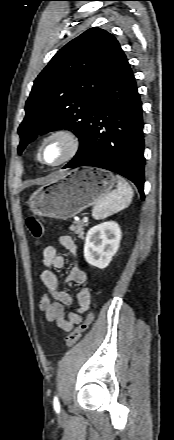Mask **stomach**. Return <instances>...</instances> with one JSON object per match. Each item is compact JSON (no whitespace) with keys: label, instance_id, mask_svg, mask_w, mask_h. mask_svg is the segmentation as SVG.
<instances>
[{"label":"stomach","instance_id":"0dacf381","mask_svg":"<svg viewBox=\"0 0 174 440\" xmlns=\"http://www.w3.org/2000/svg\"><path fill=\"white\" fill-rule=\"evenodd\" d=\"M115 183V176L107 170L77 168L37 189L28 204L37 215L66 220L96 204Z\"/></svg>","mask_w":174,"mask_h":440}]
</instances>
